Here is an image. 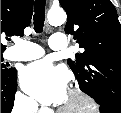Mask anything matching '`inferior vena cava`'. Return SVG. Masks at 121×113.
I'll return each mask as SVG.
<instances>
[{
    "instance_id": "1",
    "label": "inferior vena cava",
    "mask_w": 121,
    "mask_h": 113,
    "mask_svg": "<svg viewBox=\"0 0 121 113\" xmlns=\"http://www.w3.org/2000/svg\"><path fill=\"white\" fill-rule=\"evenodd\" d=\"M38 104L35 101L28 100L15 104L12 113H37Z\"/></svg>"
}]
</instances>
